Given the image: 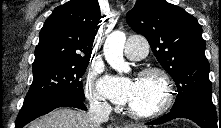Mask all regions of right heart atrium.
<instances>
[{
	"mask_svg": "<svg viewBox=\"0 0 221 128\" xmlns=\"http://www.w3.org/2000/svg\"><path fill=\"white\" fill-rule=\"evenodd\" d=\"M98 73L99 72L97 70H91L88 73L87 85H86V97L89 100L91 106L96 108H105L107 104L104 101V98L95 88V80Z\"/></svg>",
	"mask_w": 221,
	"mask_h": 128,
	"instance_id": "obj_1",
	"label": "right heart atrium"
}]
</instances>
